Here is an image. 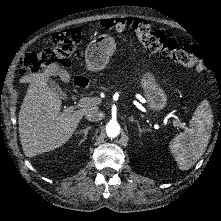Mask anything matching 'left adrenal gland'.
<instances>
[{
    "instance_id": "left-adrenal-gland-1",
    "label": "left adrenal gland",
    "mask_w": 221,
    "mask_h": 221,
    "mask_svg": "<svg viewBox=\"0 0 221 221\" xmlns=\"http://www.w3.org/2000/svg\"><path fill=\"white\" fill-rule=\"evenodd\" d=\"M129 120H130L131 122L137 123L138 131H139L140 133H142V132L145 131L144 128H143V129L141 128V126H140V124H139V121H138V120H135L133 116H130V117H129Z\"/></svg>"
}]
</instances>
